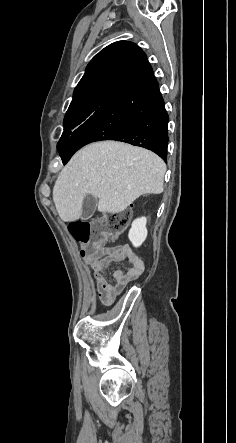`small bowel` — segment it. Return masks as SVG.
<instances>
[{"mask_svg": "<svg viewBox=\"0 0 236 443\" xmlns=\"http://www.w3.org/2000/svg\"><path fill=\"white\" fill-rule=\"evenodd\" d=\"M127 261L130 267L126 271L113 272L115 283H111L106 275L112 262ZM93 270V281L98 299L102 303H111L122 294L127 286L138 279L144 271L143 260L128 246L102 247L100 255L90 261Z\"/></svg>", "mask_w": 236, "mask_h": 443, "instance_id": "small-bowel-1", "label": "small bowel"}]
</instances>
